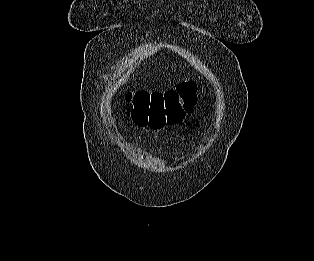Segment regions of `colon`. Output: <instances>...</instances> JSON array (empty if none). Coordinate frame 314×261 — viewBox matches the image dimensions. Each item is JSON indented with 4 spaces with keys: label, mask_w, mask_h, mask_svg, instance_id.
<instances>
[{
    "label": "colon",
    "mask_w": 314,
    "mask_h": 261,
    "mask_svg": "<svg viewBox=\"0 0 314 261\" xmlns=\"http://www.w3.org/2000/svg\"><path fill=\"white\" fill-rule=\"evenodd\" d=\"M197 89L193 82L181 83L177 89L166 92L137 91L125 96L132 105L131 117L141 127L160 129L180 123L185 114L197 105Z\"/></svg>",
    "instance_id": "obj_1"
}]
</instances>
